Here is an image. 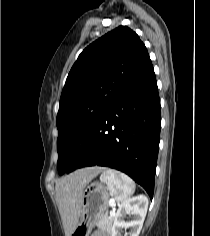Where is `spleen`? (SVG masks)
I'll list each match as a JSON object with an SVG mask.
<instances>
[{"label": "spleen", "instance_id": "obj_1", "mask_svg": "<svg viewBox=\"0 0 210 236\" xmlns=\"http://www.w3.org/2000/svg\"><path fill=\"white\" fill-rule=\"evenodd\" d=\"M100 180L107 184L110 195L114 196L118 202L126 201L135 191V183L129 176L112 169L105 170Z\"/></svg>", "mask_w": 210, "mask_h": 236}]
</instances>
